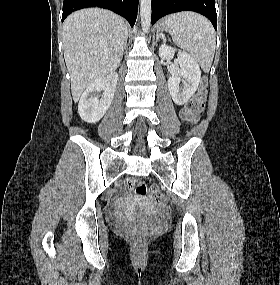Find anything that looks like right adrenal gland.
I'll list each match as a JSON object with an SVG mask.
<instances>
[{"label": "right adrenal gland", "mask_w": 280, "mask_h": 285, "mask_svg": "<svg viewBox=\"0 0 280 285\" xmlns=\"http://www.w3.org/2000/svg\"><path fill=\"white\" fill-rule=\"evenodd\" d=\"M127 49V39L125 40L123 51Z\"/></svg>", "instance_id": "1"}]
</instances>
